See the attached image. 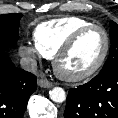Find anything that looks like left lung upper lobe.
<instances>
[{"mask_svg":"<svg viewBox=\"0 0 118 118\" xmlns=\"http://www.w3.org/2000/svg\"><path fill=\"white\" fill-rule=\"evenodd\" d=\"M110 37V54L100 72H104L111 68L118 67V25L113 21H110Z\"/></svg>","mask_w":118,"mask_h":118,"instance_id":"1","label":"left lung upper lobe"}]
</instances>
